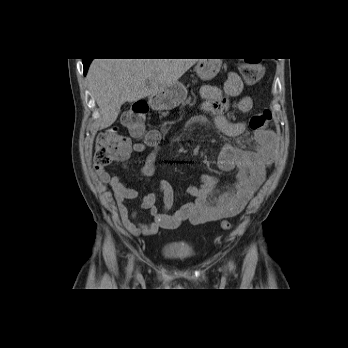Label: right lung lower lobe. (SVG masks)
I'll return each instance as SVG.
<instances>
[{
  "label": "right lung lower lobe",
  "mask_w": 348,
  "mask_h": 348,
  "mask_svg": "<svg viewBox=\"0 0 348 348\" xmlns=\"http://www.w3.org/2000/svg\"><path fill=\"white\" fill-rule=\"evenodd\" d=\"M91 61H92V59H83L84 74H86L87 69H88Z\"/></svg>",
  "instance_id": "obj_1"
}]
</instances>
